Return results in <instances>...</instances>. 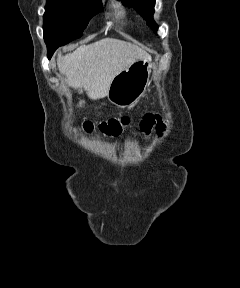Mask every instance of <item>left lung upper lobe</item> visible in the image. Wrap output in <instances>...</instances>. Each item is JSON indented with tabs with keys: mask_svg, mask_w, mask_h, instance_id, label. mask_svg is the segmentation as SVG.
<instances>
[{
	"mask_svg": "<svg viewBox=\"0 0 240 288\" xmlns=\"http://www.w3.org/2000/svg\"><path fill=\"white\" fill-rule=\"evenodd\" d=\"M125 4L134 6L140 15L147 20L150 26H153L155 30L158 29V26L153 21L154 14V5L155 0H122Z\"/></svg>",
	"mask_w": 240,
	"mask_h": 288,
	"instance_id": "obj_1",
	"label": "left lung upper lobe"
}]
</instances>
